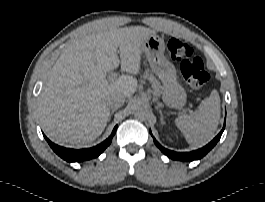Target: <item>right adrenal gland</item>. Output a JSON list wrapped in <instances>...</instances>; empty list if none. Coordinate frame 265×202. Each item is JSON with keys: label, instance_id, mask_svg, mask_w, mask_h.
<instances>
[{"label": "right adrenal gland", "instance_id": "2a0ac1e0", "mask_svg": "<svg viewBox=\"0 0 265 202\" xmlns=\"http://www.w3.org/2000/svg\"><path fill=\"white\" fill-rule=\"evenodd\" d=\"M115 112V109H112L109 113V117H108V122L110 121L111 119V116L113 115V113Z\"/></svg>", "mask_w": 265, "mask_h": 202}]
</instances>
